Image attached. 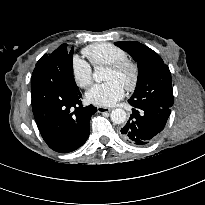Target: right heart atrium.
<instances>
[{
  "mask_svg": "<svg viewBox=\"0 0 205 205\" xmlns=\"http://www.w3.org/2000/svg\"><path fill=\"white\" fill-rule=\"evenodd\" d=\"M71 76L80 88H88L92 84V68L88 62L74 55L71 59Z\"/></svg>",
  "mask_w": 205,
  "mask_h": 205,
  "instance_id": "d8ad5b80",
  "label": "right heart atrium"
}]
</instances>
